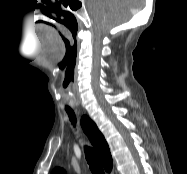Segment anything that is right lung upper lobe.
I'll use <instances>...</instances> for the list:
<instances>
[{
  "label": "right lung upper lobe",
  "mask_w": 187,
  "mask_h": 174,
  "mask_svg": "<svg viewBox=\"0 0 187 174\" xmlns=\"http://www.w3.org/2000/svg\"><path fill=\"white\" fill-rule=\"evenodd\" d=\"M82 127L84 132L89 137L91 143L93 144L97 154L99 155L101 162L107 172L112 169V157L107 142L104 136L100 133L96 125L92 121L88 123L82 122ZM53 174H66L61 168H57Z\"/></svg>",
  "instance_id": "cb5924a9"
}]
</instances>
